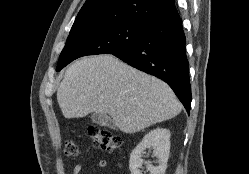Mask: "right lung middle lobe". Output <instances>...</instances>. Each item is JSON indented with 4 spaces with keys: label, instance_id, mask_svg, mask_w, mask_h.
Listing matches in <instances>:
<instances>
[{
    "label": "right lung middle lobe",
    "instance_id": "right-lung-middle-lobe-1",
    "mask_svg": "<svg viewBox=\"0 0 249 174\" xmlns=\"http://www.w3.org/2000/svg\"><path fill=\"white\" fill-rule=\"evenodd\" d=\"M145 27L146 22L124 20L70 32L56 71L82 56L121 52L143 35Z\"/></svg>",
    "mask_w": 249,
    "mask_h": 174
}]
</instances>
